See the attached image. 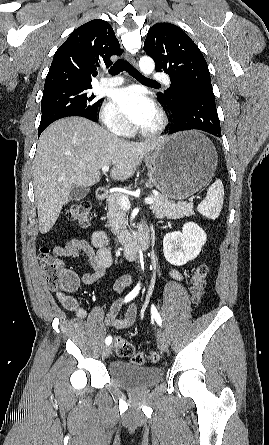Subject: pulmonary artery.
<instances>
[{
    "label": "pulmonary artery",
    "mask_w": 269,
    "mask_h": 445,
    "mask_svg": "<svg viewBox=\"0 0 269 445\" xmlns=\"http://www.w3.org/2000/svg\"><path fill=\"white\" fill-rule=\"evenodd\" d=\"M154 77L167 85L171 84L170 78L166 74H156ZM122 83L123 79L120 77H103L99 80V85L103 87H115Z\"/></svg>",
    "instance_id": "e3ab8cb5"
}]
</instances>
